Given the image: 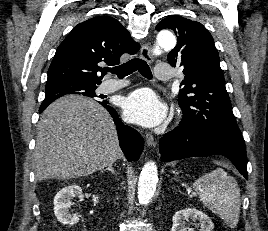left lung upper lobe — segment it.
Returning a JSON list of instances; mask_svg holds the SVG:
<instances>
[{
  "instance_id": "left-lung-upper-lobe-1",
  "label": "left lung upper lobe",
  "mask_w": 268,
  "mask_h": 231,
  "mask_svg": "<svg viewBox=\"0 0 268 231\" xmlns=\"http://www.w3.org/2000/svg\"><path fill=\"white\" fill-rule=\"evenodd\" d=\"M156 30L171 29L177 45L168 54L172 67L185 74L178 102L183 110L181 125L214 131L244 142L232 112L213 38L199 22L179 16L160 21Z\"/></svg>"
}]
</instances>
